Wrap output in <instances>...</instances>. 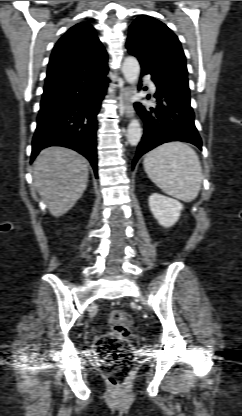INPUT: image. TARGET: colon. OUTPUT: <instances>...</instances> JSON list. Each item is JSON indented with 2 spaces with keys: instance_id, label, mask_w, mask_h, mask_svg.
I'll list each match as a JSON object with an SVG mask.
<instances>
[{
  "instance_id": "5ec220e1",
  "label": "colon",
  "mask_w": 242,
  "mask_h": 416,
  "mask_svg": "<svg viewBox=\"0 0 242 416\" xmlns=\"http://www.w3.org/2000/svg\"><path fill=\"white\" fill-rule=\"evenodd\" d=\"M108 324L110 331L97 338L95 348L109 382L116 385L127 379L135 365L128 341L133 322L126 311L115 309L108 315Z\"/></svg>"
}]
</instances>
